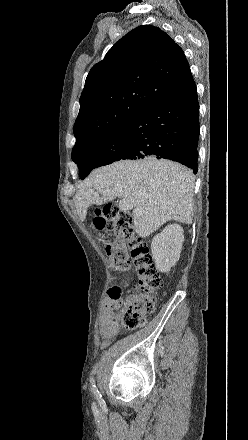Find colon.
Listing matches in <instances>:
<instances>
[{
	"label": "colon",
	"instance_id": "1",
	"mask_svg": "<svg viewBox=\"0 0 248 440\" xmlns=\"http://www.w3.org/2000/svg\"><path fill=\"white\" fill-rule=\"evenodd\" d=\"M95 218L104 220V231L112 237V241L106 244L111 267L116 271L133 268L138 277V285L127 294L124 284L111 286L107 300L115 309L121 310L123 328L142 327L155 310L163 281L152 264L148 247L133 228L129 213L121 211L115 204H107L96 212ZM113 321L116 322L115 317Z\"/></svg>",
	"mask_w": 248,
	"mask_h": 440
}]
</instances>
